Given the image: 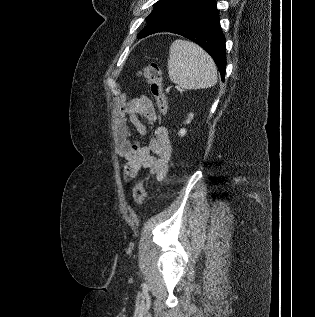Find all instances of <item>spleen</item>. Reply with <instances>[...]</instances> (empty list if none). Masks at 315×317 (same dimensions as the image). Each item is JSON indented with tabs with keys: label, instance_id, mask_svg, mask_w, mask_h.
Listing matches in <instances>:
<instances>
[{
	"label": "spleen",
	"instance_id": "1",
	"mask_svg": "<svg viewBox=\"0 0 315 317\" xmlns=\"http://www.w3.org/2000/svg\"><path fill=\"white\" fill-rule=\"evenodd\" d=\"M168 75L182 90L203 89L217 83V68L197 44L177 39L169 49Z\"/></svg>",
	"mask_w": 315,
	"mask_h": 317
}]
</instances>
